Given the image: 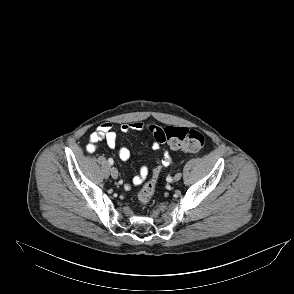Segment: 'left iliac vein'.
Instances as JSON below:
<instances>
[{
  "mask_svg": "<svg viewBox=\"0 0 294 294\" xmlns=\"http://www.w3.org/2000/svg\"><path fill=\"white\" fill-rule=\"evenodd\" d=\"M181 173H177L174 177H173V181H179L181 179Z\"/></svg>",
  "mask_w": 294,
  "mask_h": 294,
  "instance_id": "1",
  "label": "left iliac vein"
}]
</instances>
